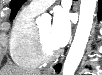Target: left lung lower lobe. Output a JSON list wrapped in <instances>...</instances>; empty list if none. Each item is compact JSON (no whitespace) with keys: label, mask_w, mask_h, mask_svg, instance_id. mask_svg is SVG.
Instances as JSON below:
<instances>
[{"label":"left lung lower lobe","mask_w":102,"mask_h":75,"mask_svg":"<svg viewBox=\"0 0 102 75\" xmlns=\"http://www.w3.org/2000/svg\"><path fill=\"white\" fill-rule=\"evenodd\" d=\"M101 15H102V3H101V1L99 0V17H101ZM60 67H61V65L58 64V65H56L54 68H55L56 71H59V70H60Z\"/></svg>","instance_id":"left-lung-lower-lobe-1"}]
</instances>
